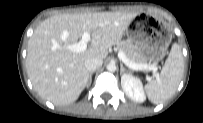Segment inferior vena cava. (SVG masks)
<instances>
[{"mask_svg": "<svg viewBox=\"0 0 203 123\" xmlns=\"http://www.w3.org/2000/svg\"><path fill=\"white\" fill-rule=\"evenodd\" d=\"M103 64V60L99 58H90L85 61V67L89 72H93Z\"/></svg>", "mask_w": 203, "mask_h": 123, "instance_id": "1", "label": "inferior vena cava"}]
</instances>
